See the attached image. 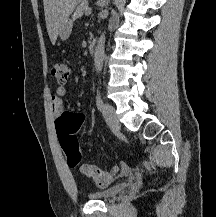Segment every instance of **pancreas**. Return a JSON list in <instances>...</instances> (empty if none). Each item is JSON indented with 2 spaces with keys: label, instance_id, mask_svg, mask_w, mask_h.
<instances>
[{
  "label": "pancreas",
  "instance_id": "obj_1",
  "mask_svg": "<svg viewBox=\"0 0 216 217\" xmlns=\"http://www.w3.org/2000/svg\"><path fill=\"white\" fill-rule=\"evenodd\" d=\"M87 7H88L87 0H82V2L77 6L76 11L72 16L73 20L80 18L84 13H86Z\"/></svg>",
  "mask_w": 216,
  "mask_h": 217
}]
</instances>
